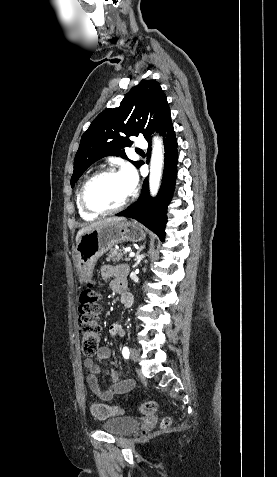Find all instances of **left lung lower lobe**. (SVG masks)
Instances as JSON below:
<instances>
[{
  "label": "left lung lower lobe",
  "instance_id": "1",
  "mask_svg": "<svg viewBox=\"0 0 277 477\" xmlns=\"http://www.w3.org/2000/svg\"><path fill=\"white\" fill-rule=\"evenodd\" d=\"M159 133L163 136L164 140L165 165L162 185L157 197L155 199L150 197L148 179L146 178L138 201L125 211L117 214V216L136 219L155 232L160 239L163 240L165 237L164 230L167 222V206L172 197L177 174L178 153L177 139L171 120L159 131ZM148 142L150 144V140Z\"/></svg>",
  "mask_w": 277,
  "mask_h": 477
}]
</instances>
